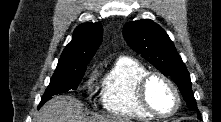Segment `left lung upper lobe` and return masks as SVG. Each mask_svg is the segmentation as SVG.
Segmentation results:
<instances>
[{
	"mask_svg": "<svg viewBox=\"0 0 221 122\" xmlns=\"http://www.w3.org/2000/svg\"><path fill=\"white\" fill-rule=\"evenodd\" d=\"M123 35L134 51L141 54L161 73L172 78L187 106L197 110L190 75L166 32L152 20L143 19L127 23Z\"/></svg>",
	"mask_w": 221,
	"mask_h": 122,
	"instance_id": "left-lung-upper-lobe-1",
	"label": "left lung upper lobe"
}]
</instances>
